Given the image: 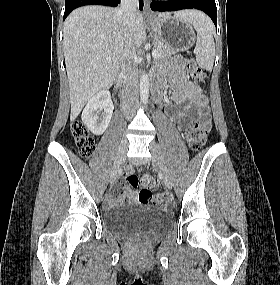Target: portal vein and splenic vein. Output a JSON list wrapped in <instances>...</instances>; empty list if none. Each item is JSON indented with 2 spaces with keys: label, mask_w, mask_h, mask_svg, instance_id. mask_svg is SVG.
Here are the masks:
<instances>
[{
  "label": "portal vein and splenic vein",
  "mask_w": 280,
  "mask_h": 285,
  "mask_svg": "<svg viewBox=\"0 0 280 285\" xmlns=\"http://www.w3.org/2000/svg\"><path fill=\"white\" fill-rule=\"evenodd\" d=\"M152 56H153V58H157V57L159 56L158 51L154 49V50L152 51ZM107 60L110 61L111 58H108Z\"/></svg>",
  "instance_id": "18ae733b"
}]
</instances>
